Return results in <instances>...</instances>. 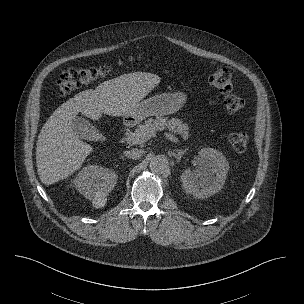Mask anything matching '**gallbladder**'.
<instances>
[{
    "instance_id": "1",
    "label": "gallbladder",
    "mask_w": 304,
    "mask_h": 304,
    "mask_svg": "<svg viewBox=\"0 0 304 304\" xmlns=\"http://www.w3.org/2000/svg\"><path fill=\"white\" fill-rule=\"evenodd\" d=\"M74 132L85 140H91L97 129L84 117L76 116L72 124Z\"/></svg>"
}]
</instances>
